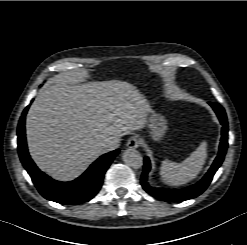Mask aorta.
Listing matches in <instances>:
<instances>
[{
  "mask_svg": "<svg viewBox=\"0 0 247 245\" xmlns=\"http://www.w3.org/2000/svg\"><path fill=\"white\" fill-rule=\"evenodd\" d=\"M123 162L133 168H139L142 165L141 154L135 148H128L122 152Z\"/></svg>",
  "mask_w": 247,
  "mask_h": 245,
  "instance_id": "aorta-1",
  "label": "aorta"
}]
</instances>
